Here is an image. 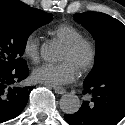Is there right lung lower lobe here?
I'll use <instances>...</instances> for the list:
<instances>
[{"label": "right lung lower lobe", "instance_id": "1", "mask_svg": "<svg viewBox=\"0 0 125 125\" xmlns=\"http://www.w3.org/2000/svg\"><path fill=\"white\" fill-rule=\"evenodd\" d=\"M29 74L26 64L9 68L0 63V123L18 116L25 108L31 87L20 82Z\"/></svg>", "mask_w": 125, "mask_h": 125}]
</instances>
